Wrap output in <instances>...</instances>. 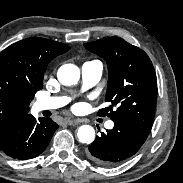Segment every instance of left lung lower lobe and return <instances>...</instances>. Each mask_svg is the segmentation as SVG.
Masks as SVG:
<instances>
[{
    "label": "left lung lower lobe",
    "instance_id": "1",
    "mask_svg": "<svg viewBox=\"0 0 183 183\" xmlns=\"http://www.w3.org/2000/svg\"><path fill=\"white\" fill-rule=\"evenodd\" d=\"M114 128L102 132L86 151L98 165L112 167L133 156L143 145L150 129L130 120L114 121Z\"/></svg>",
    "mask_w": 183,
    "mask_h": 183
}]
</instances>
